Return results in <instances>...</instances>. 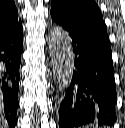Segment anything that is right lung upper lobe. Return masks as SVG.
<instances>
[{
	"mask_svg": "<svg viewBox=\"0 0 125 128\" xmlns=\"http://www.w3.org/2000/svg\"><path fill=\"white\" fill-rule=\"evenodd\" d=\"M13 0H0V34L15 29L21 25Z\"/></svg>",
	"mask_w": 125,
	"mask_h": 128,
	"instance_id": "obj_1",
	"label": "right lung upper lobe"
}]
</instances>
